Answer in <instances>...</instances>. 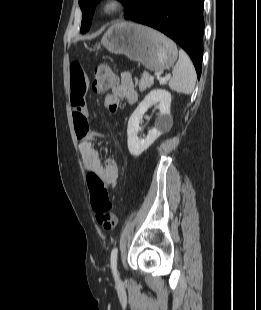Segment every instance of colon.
I'll return each mask as SVG.
<instances>
[{"mask_svg":"<svg viewBox=\"0 0 261 310\" xmlns=\"http://www.w3.org/2000/svg\"><path fill=\"white\" fill-rule=\"evenodd\" d=\"M116 81V76L108 63L103 62L97 65L93 80L94 91L103 93L111 88ZM87 183L97 223L105 230L114 229L117 225V217L110 212L112 205L104 181L98 174L90 172L87 175Z\"/></svg>","mask_w":261,"mask_h":310,"instance_id":"1","label":"colon"}]
</instances>
